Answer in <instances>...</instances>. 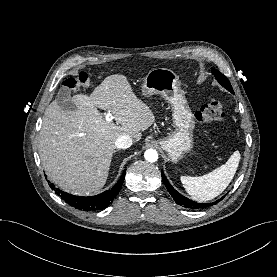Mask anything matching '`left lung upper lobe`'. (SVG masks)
I'll list each match as a JSON object with an SVG mask.
<instances>
[{"label":"left lung upper lobe","mask_w":277,"mask_h":277,"mask_svg":"<svg viewBox=\"0 0 277 277\" xmlns=\"http://www.w3.org/2000/svg\"><path fill=\"white\" fill-rule=\"evenodd\" d=\"M212 73L215 76V78L217 79V81L224 87L226 88L228 91H230L231 93L234 94L233 88L229 82V80L227 79L226 76H224L222 73H220L218 70L212 69Z\"/></svg>","instance_id":"left-lung-upper-lobe-1"}]
</instances>
